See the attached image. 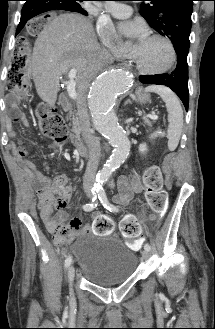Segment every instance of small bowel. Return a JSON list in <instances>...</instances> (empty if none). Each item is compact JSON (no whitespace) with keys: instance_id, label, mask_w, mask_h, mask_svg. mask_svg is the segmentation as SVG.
I'll return each mask as SVG.
<instances>
[{"instance_id":"1","label":"small bowel","mask_w":215,"mask_h":329,"mask_svg":"<svg viewBox=\"0 0 215 329\" xmlns=\"http://www.w3.org/2000/svg\"><path fill=\"white\" fill-rule=\"evenodd\" d=\"M14 117L17 119H22L16 109L14 112ZM22 121L25 120L22 119ZM8 130L11 137L13 138V153L15 158L27 170L31 180L37 187L36 192L38 195V209L48 230L53 233L52 228L54 225H60L64 227L69 231L68 240L72 243L76 242L79 235H86L90 232H94V236H112V232L114 231L113 220H91L90 226L88 224H83L80 218H75L69 221L66 213L63 211H58L55 214L54 207L45 204L43 199V192L47 190L55 181H60L66 184L67 177L60 175L51 179L43 175L36 169L34 163L28 158V150L26 147L21 145V142L16 137L15 132L12 131L10 127ZM118 189L119 193L115 197L116 202L125 204L129 201V208H137L138 213L146 212V207L144 206L143 201H140V195L138 194L143 191V185L136 176L131 178L125 175L120 176L118 179ZM132 192H135V194L133 195ZM72 194L73 188L70 185L65 186L66 204L70 201ZM94 216L101 217L102 215L100 213H94ZM55 240L56 242H59L56 236ZM143 242V237L137 238L133 243V248L135 250L140 249Z\"/></svg>"}]
</instances>
